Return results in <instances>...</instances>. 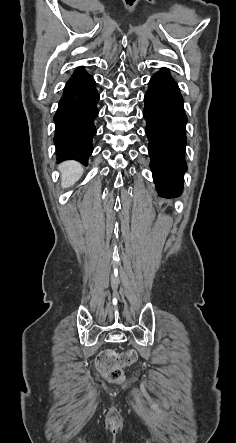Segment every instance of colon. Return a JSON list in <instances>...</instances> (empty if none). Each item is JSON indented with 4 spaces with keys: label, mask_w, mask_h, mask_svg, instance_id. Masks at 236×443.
Returning <instances> with one entry per match:
<instances>
[{
    "label": "colon",
    "mask_w": 236,
    "mask_h": 443,
    "mask_svg": "<svg viewBox=\"0 0 236 443\" xmlns=\"http://www.w3.org/2000/svg\"><path fill=\"white\" fill-rule=\"evenodd\" d=\"M137 353L128 350L121 354L113 351L101 353L96 361L98 370L111 382H120L124 379L123 367L135 363Z\"/></svg>",
    "instance_id": "colon-1"
}]
</instances>
